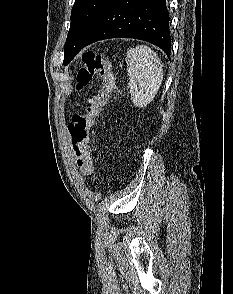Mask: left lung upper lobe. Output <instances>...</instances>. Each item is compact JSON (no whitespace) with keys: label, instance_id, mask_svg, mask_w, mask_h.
I'll use <instances>...</instances> for the list:
<instances>
[{"label":"left lung upper lobe","instance_id":"obj_1","mask_svg":"<svg viewBox=\"0 0 233 294\" xmlns=\"http://www.w3.org/2000/svg\"><path fill=\"white\" fill-rule=\"evenodd\" d=\"M111 0H75L71 23L65 43L64 61L67 65L82 49L88 34Z\"/></svg>","mask_w":233,"mask_h":294}]
</instances>
